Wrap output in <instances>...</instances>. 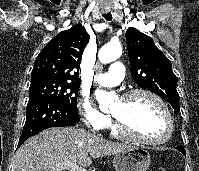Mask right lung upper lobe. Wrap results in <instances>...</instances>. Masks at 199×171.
Segmentation results:
<instances>
[{"instance_id":"obj_1","label":"right lung upper lobe","mask_w":199,"mask_h":171,"mask_svg":"<svg viewBox=\"0 0 199 171\" xmlns=\"http://www.w3.org/2000/svg\"><path fill=\"white\" fill-rule=\"evenodd\" d=\"M89 38L82 26H73L60 32L37 56L31 78L49 76L80 83L78 71Z\"/></svg>"}]
</instances>
